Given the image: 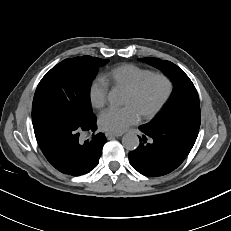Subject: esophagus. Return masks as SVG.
<instances>
[{"label":"esophagus","instance_id":"obj_1","mask_svg":"<svg viewBox=\"0 0 231 231\" xmlns=\"http://www.w3.org/2000/svg\"><path fill=\"white\" fill-rule=\"evenodd\" d=\"M122 135H123V133H112V132H107V133L105 134V136H106L107 138L120 137V136H122Z\"/></svg>","mask_w":231,"mask_h":231}]
</instances>
